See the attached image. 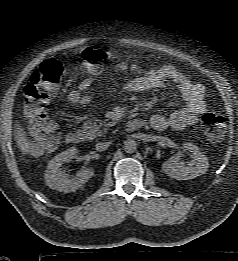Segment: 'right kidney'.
Instances as JSON below:
<instances>
[{
	"label": "right kidney",
	"instance_id": "right-kidney-1",
	"mask_svg": "<svg viewBox=\"0 0 238 261\" xmlns=\"http://www.w3.org/2000/svg\"><path fill=\"white\" fill-rule=\"evenodd\" d=\"M77 152V149L72 147L59 153L50 160L47 170L45 171L47 186L60 192H74L93 176V170L88 168L79 171L74 178L70 179L69 176L60 169L63 163L75 158Z\"/></svg>",
	"mask_w": 238,
	"mask_h": 261
}]
</instances>
